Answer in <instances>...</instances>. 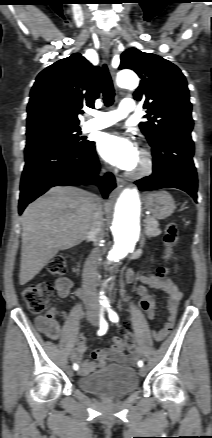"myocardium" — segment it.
<instances>
[{"instance_id": "obj_1", "label": "myocardium", "mask_w": 212, "mask_h": 438, "mask_svg": "<svg viewBox=\"0 0 212 438\" xmlns=\"http://www.w3.org/2000/svg\"><path fill=\"white\" fill-rule=\"evenodd\" d=\"M138 165L128 171V175L134 179H142L149 176L155 168L154 159L149 152L141 150L138 155Z\"/></svg>"}]
</instances>
